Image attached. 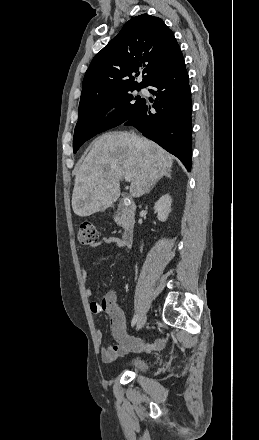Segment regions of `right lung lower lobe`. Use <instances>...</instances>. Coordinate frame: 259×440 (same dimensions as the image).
I'll use <instances>...</instances> for the list:
<instances>
[{
    "instance_id": "1",
    "label": "right lung lower lobe",
    "mask_w": 259,
    "mask_h": 440,
    "mask_svg": "<svg viewBox=\"0 0 259 440\" xmlns=\"http://www.w3.org/2000/svg\"><path fill=\"white\" fill-rule=\"evenodd\" d=\"M156 88L152 107L144 100L138 111L125 125L136 127L142 134L178 157L184 166L191 168V90L185 62L180 54L161 69L147 86Z\"/></svg>"
}]
</instances>
